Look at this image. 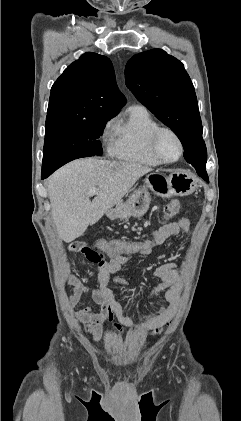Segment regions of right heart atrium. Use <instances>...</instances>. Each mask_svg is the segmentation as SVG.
<instances>
[{
	"label": "right heart atrium",
	"mask_w": 241,
	"mask_h": 421,
	"mask_svg": "<svg viewBox=\"0 0 241 421\" xmlns=\"http://www.w3.org/2000/svg\"><path fill=\"white\" fill-rule=\"evenodd\" d=\"M112 123H113V120L110 119L104 125L103 135H102V137H103L104 140H106L107 138H109V136L111 134L110 129L112 127Z\"/></svg>",
	"instance_id": "d8ad5b80"
}]
</instances>
